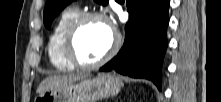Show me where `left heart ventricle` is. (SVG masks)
<instances>
[{"instance_id":"b2bd125f","label":"left heart ventricle","mask_w":221,"mask_h":102,"mask_svg":"<svg viewBox=\"0 0 221 102\" xmlns=\"http://www.w3.org/2000/svg\"><path fill=\"white\" fill-rule=\"evenodd\" d=\"M112 44V31L109 25L100 20L85 22L75 38V53L83 62L100 59Z\"/></svg>"}]
</instances>
